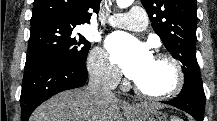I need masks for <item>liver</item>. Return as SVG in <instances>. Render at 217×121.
I'll use <instances>...</instances> for the list:
<instances>
[{
    "label": "liver",
    "instance_id": "1",
    "mask_svg": "<svg viewBox=\"0 0 217 121\" xmlns=\"http://www.w3.org/2000/svg\"><path fill=\"white\" fill-rule=\"evenodd\" d=\"M146 103L130 105L117 98L96 100L87 89L61 92L40 105L29 121H140ZM123 110V112H121Z\"/></svg>",
    "mask_w": 217,
    "mask_h": 121
}]
</instances>
